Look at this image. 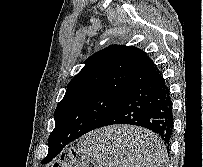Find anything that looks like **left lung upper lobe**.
<instances>
[{
  "label": "left lung upper lobe",
  "mask_w": 203,
  "mask_h": 167,
  "mask_svg": "<svg viewBox=\"0 0 203 167\" xmlns=\"http://www.w3.org/2000/svg\"><path fill=\"white\" fill-rule=\"evenodd\" d=\"M150 58L134 46L110 45L90 56L58 103L48 146L98 128ZM47 157L42 163H47Z\"/></svg>",
  "instance_id": "left-lung-upper-lobe-1"
}]
</instances>
